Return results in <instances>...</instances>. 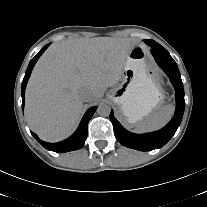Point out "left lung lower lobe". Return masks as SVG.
Returning a JSON list of instances; mask_svg holds the SVG:
<instances>
[{
    "label": "left lung lower lobe",
    "mask_w": 207,
    "mask_h": 207,
    "mask_svg": "<svg viewBox=\"0 0 207 207\" xmlns=\"http://www.w3.org/2000/svg\"><path fill=\"white\" fill-rule=\"evenodd\" d=\"M151 46L152 55L154 56L157 64L168 75L176 91V110L174 117L161 130L138 135L125 130L115 119L113 111L110 113V120L114 127L116 139L122 145L140 151H151L164 146L172 138L179 127L185 109L184 88L176 62L170 56L168 51L161 45L155 46L152 44Z\"/></svg>",
    "instance_id": "1"
}]
</instances>
